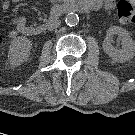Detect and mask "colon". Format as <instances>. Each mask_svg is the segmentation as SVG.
I'll return each mask as SVG.
<instances>
[{"label":"colon","instance_id":"5ec220e1","mask_svg":"<svg viewBox=\"0 0 135 135\" xmlns=\"http://www.w3.org/2000/svg\"><path fill=\"white\" fill-rule=\"evenodd\" d=\"M117 16L121 23L129 24L135 23V8L131 3L126 0L118 1L116 5ZM2 45V40L0 38V47Z\"/></svg>","mask_w":135,"mask_h":135}]
</instances>
